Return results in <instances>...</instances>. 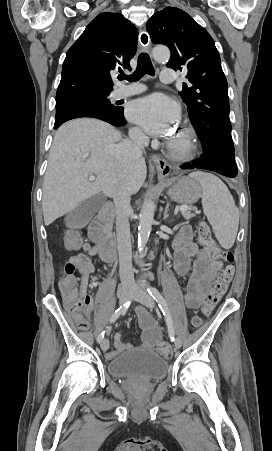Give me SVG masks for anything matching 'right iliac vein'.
<instances>
[{
    "label": "right iliac vein",
    "instance_id": "63e3f726",
    "mask_svg": "<svg viewBox=\"0 0 272 451\" xmlns=\"http://www.w3.org/2000/svg\"><path fill=\"white\" fill-rule=\"evenodd\" d=\"M134 290L130 287H124L120 295V304L126 303L133 295ZM109 348V340L107 338L102 339L101 349L105 352Z\"/></svg>",
    "mask_w": 272,
    "mask_h": 451
}]
</instances>
